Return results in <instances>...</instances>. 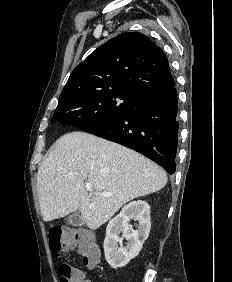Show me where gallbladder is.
Returning <instances> with one entry per match:
<instances>
[{
	"mask_svg": "<svg viewBox=\"0 0 232 282\" xmlns=\"http://www.w3.org/2000/svg\"><path fill=\"white\" fill-rule=\"evenodd\" d=\"M66 222L69 225L81 226L84 223V219L77 211H75L66 218Z\"/></svg>",
	"mask_w": 232,
	"mask_h": 282,
	"instance_id": "obj_1",
	"label": "gallbladder"
}]
</instances>
